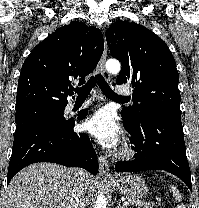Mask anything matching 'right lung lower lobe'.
<instances>
[{
	"instance_id": "obj_1",
	"label": "right lung lower lobe",
	"mask_w": 199,
	"mask_h": 208,
	"mask_svg": "<svg viewBox=\"0 0 199 208\" xmlns=\"http://www.w3.org/2000/svg\"><path fill=\"white\" fill-rule=\"evenodd\" d=\"M86 115L87 110H82L78 119ZM74 125L75 122L70 120L63 124L44 120L17 124L7 182L22 168L36 162L82 167L97 174L98 161L89 137L75 133Z\"/></svg>"
}]
</instances>
